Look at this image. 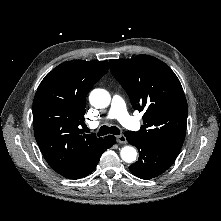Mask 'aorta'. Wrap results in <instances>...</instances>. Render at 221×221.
<instances>
[{"label": "aorta", "instance_id": "762f6f07", "mask_svg": "<svg viewBox=\"0 0 221 221\" xmlns=\"http://www.w3.org/2000/svg\"><path fill=\"white\" fill-rule=\"evenodd\" d=\"M89 101L95 108H106L111 101L110 94L104 89H94L89 96ZM121 158L127 163L136 160L137 152L132 146H124L120 152Z\"/></svg>", "mask_w": 221, "mask_h": 221}]
</instances>
